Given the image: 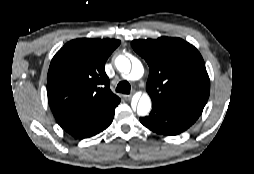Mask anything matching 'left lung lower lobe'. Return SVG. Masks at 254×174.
<instances>
[{
  "label": "left lung lower lobe",
  "mask_w": 254,
  "mask_h": 174,
  "mask_svg": "<svg viewBox=\"0 0 254 174\" xmlns=\"http://www.w3.org/2000/svg\"><path fill=\"white\" fill-rule=\"evenodd\" d=\"M152 103L153 109L149 116L140 118V122L158 134L166 136L178 135L187 130L199 118L196 114L175 109L163 103Z\"/></svg>",
  "instance_id": "left-lung-lower-lobe-1"
}]
</instances>
